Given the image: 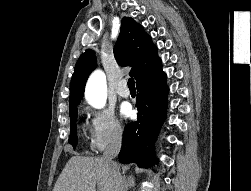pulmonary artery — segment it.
<instances>
[{
  "instance_id": "e3ab8cb5",
  "label": "pulmonary artery",
  "mask_w": 251,
  "mask_h": 191,
  "mask_svg": "<svg viewBox=\"0 0 251 191\" xmlns=\"http://www.w3.org/2000/svg\"><path fill=\"white\" fill-rule=\"evenodd\" d=\"M117 93L124 98H127L130 96V90L127 86L126 80L123 79L119 82L117 86Z\"/></svg>"
}]
</instances>
